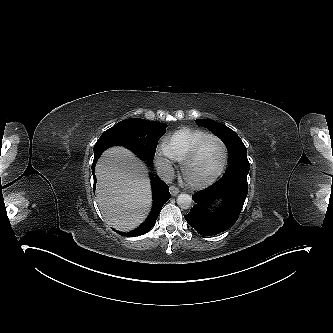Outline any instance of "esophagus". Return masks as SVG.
I'll use <instances>...</instances> for the list:
<instances>
[{"label":"esophagus","mask_w":333,"mask_h":333,"mask_svg":"<svg viewBox=\"0 0 333 333\" xmlns=\"http://www.w3.org/2000/svg\"><path fill=\"white\" fill-rule=\"evenodd\" d=\"M169 190L172 196H176L180 192L179 188L174 185L170 186Z\"/></svg>","instance_id":"esophagus-1"}]
</instances>
